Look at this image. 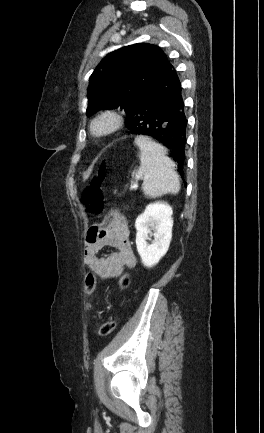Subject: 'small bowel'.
Returning a JSON list of instances; mask_svg holds the SVG:
<instances>
[{
  "instance_id": "obj_1",
  "label": "small bowel",
  "mask_w": 264,
  "mask_h": 433,
  "mask_svg": "<svg viewBox=\"0 0 264 433\" xmlns=\"http://www.w3.org/2000/svg\"><path fill=\"white\" fill-rule=\"evenodd\" d=\"M106 247L114 251L99 255ZM83 260L102 279L119 276L125 268L135 266L136 257L131 247L127 221L121 212L111 210L102 222L89 228Z\"/></svg>"
}]
</instances>
